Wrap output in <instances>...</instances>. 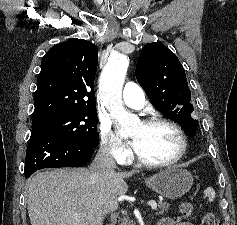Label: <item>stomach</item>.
Here are the masks:
<instances>
[{
    "mask_svg": "<svg viewBox=\"0 0 237 225\" xmlns=\"http://www.w3.org/2000/svg\"><path fill=\"white\" fill-rule=\"evenodd\" d=\"M193 181L189 171L179 166H171L146 178L145 184L168 199H178L191 189Z\"/></svg>",
    "mask_w": 237,
    "mask_h": 225,
    "instance_id": "obj_1",
    "label": "stomach"
}]
</instances>
